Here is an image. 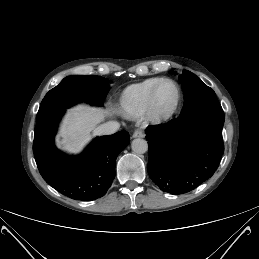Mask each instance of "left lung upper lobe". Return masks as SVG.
<instances>
[{
  "label": "left lung upper lobe",
  "mask_w": 259,
  "mask_h": 259,
  "mask_svg": "<svg viewBox=\"0 0 259 259\" xmlns=\"http://www.w3.org/2000/svg\"><path fill=\"white\" fill-rule=\"evenodd\" d=\"M184 92V105L180 116L207 109L221 107L215 92L205 85L195 74L183 70L179 78Z\"/></svg>",
  "instance_id": "1"
}]
</instances>
